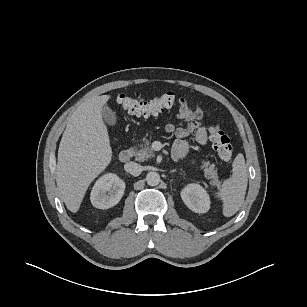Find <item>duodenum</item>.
<instances>
[{
	"instance_id": "410a0bca",
	"label": "duodenum",
	"mask_w": 307,
	"mask_h": 307,
	"mask_svg": "<svg viewBox=\"0 0 307 307\" xmlns=\"http://www.w3.org/2000/svg\"><path fill=\"white\" fill-rule=\"evenodd\" d=\"M133 152L130 149L123 150L119 154V160L123 163L128 162L132 158Z\"/></svg>"
}]
</instances>
